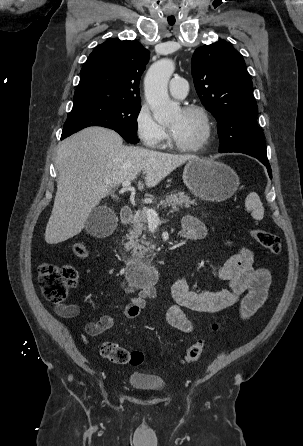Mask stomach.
<instances>
[{
    "mask_svg": "<svg viewBox=\"0 0 303 446\" xmlns=\"http://www.w3.org/2000/svg\"><path fill=\"white\" fill-rule=\"evenodd\" d=\"M183 181L194 196L206 201H224L239 187V177L232 168L203 158L188 161Z\"/></svg>",
    "mask_w": 303,
    "mask_h": 446,
    "instance_id": "obj_1",
    "label": "stomach"
}]
</instances>
